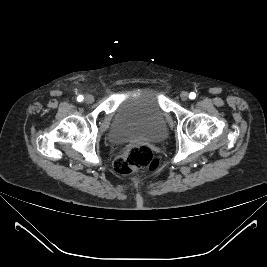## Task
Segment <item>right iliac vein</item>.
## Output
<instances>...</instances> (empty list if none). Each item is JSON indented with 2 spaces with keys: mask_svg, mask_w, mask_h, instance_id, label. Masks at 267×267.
<instances>
[{
  "mask_svg": "<svg viewBox=\"0 0 267 267\" xmlns=\"http://www.w3.org/2000/svg\"><path fill=\"white\" fill-rule=\"evenodd\" d=\"M84 101H85V103H87V104H91V103H93V101H94V96L88 94V95L85 96Z\"/></svg>",
  "mask_w": 267,
  "mask_h": 267,
  "instance_id": "1",
  "label": "right iliac vein"
}]
</instances>
